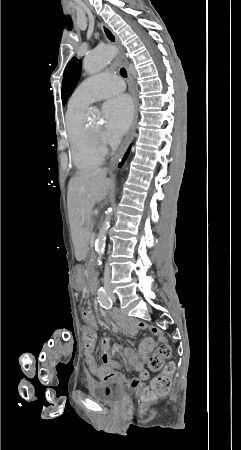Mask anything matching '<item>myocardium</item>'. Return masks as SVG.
I'll use <instances>...</instances> for the list:
<instances>
[{
    "mask_svg": "<svg viewBox=\"0 0 241 450\" xmlns=\"http://www.w3.org/2000/svg\"><path fill=\"white\" fill-rule=\"evenodd\" d=\"M87 135H90V136H87ZM87 135L84 136L82 139L84 143H86V144L87 143H90V144L100 143V141H101L100 132L97 129H90L88 131ZM86 147H92V146H86ZM95 147H98V146H95Z\"/></svg>",
    "mask_w": 241,
    "mask_h": 450,
    "instance_id": "1",
    "label": "myocardium"
}]
</instances>
